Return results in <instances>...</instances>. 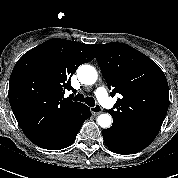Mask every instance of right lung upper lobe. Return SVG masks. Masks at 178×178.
Segmentation results:
<instances>
[{
    "mask_svg": "<svg viewBox=\"0 0 178 178\" xmlns=\"http://www.w3.org/2000/svg\"><path fill=\"white\" fill-rule=\"evenodd\" d=\"M88 44L50 39L26 52L9 81V102L19 126L33 143L69 133L86 105L64 98L73 90L77 68L94 59Z\"/></svg>",
    "mask_w": 178,
    "mask_h": 178,
    "instance_id": "right-lung-upper-lobe-1",
    "label": "right lung upper lobe"
}]
</instances>
